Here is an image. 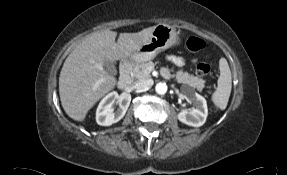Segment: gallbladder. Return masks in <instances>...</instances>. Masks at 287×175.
Here are the masks:
<instances>
[{"label": "gallbladder", "mask_w": 287, "mask_h": 175, "mask_svg": "<svg viewBox=\"0 0 287 175\" xmlns=\"http://www.w3.org/2000/svg\"><path fill=\"white\" fill-rule=\"evenodd\" d=\"M103 66L109 73H115V66L111 60L105 59Z\"/></svg>", "instance_id": "bac80fb5"}]
</instances>
